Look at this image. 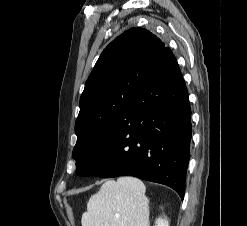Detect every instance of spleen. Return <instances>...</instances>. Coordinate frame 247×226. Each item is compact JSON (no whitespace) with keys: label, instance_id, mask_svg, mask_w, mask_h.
<instances>
[{"label":"spleen","instance_id":"spleen-1","mask_svg":"<svg viewBox=\"0 0 247 226\" xmlns=\"http://www.w3.org/2000/svg\"><path fill=\"white\" fill-rule=\"evenodd\" d=\"M144 183L135 177L106 181L92 195L82 226H148L149 200Z\"/></svg>","mask_w":247,"mask_h":226}]
</instances>
